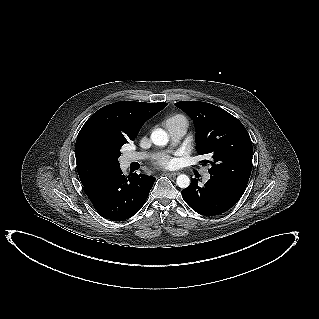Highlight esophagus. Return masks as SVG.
Returning <instances> with one entry per match:
<instances>
[{"label": "esophagus", "instance_id": "obj_1", "mask_svg": "<svg viewBox=\"0 0 319 319\" xmlns=\"http://www.w3.org/2000/svg\"><path fill=\"white\" fill-rule=\"evenodd\" d=\"M164 174L167 175V176L175 177V176H177L179 173H178V172H164Z\"/></svg>", "mask_w": 319, "mask_h": 319}]
</instances>
